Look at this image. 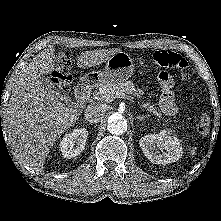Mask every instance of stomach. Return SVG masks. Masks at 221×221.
Listing matches in <instances>:
<instances>
[{
    "mask_svg": "<svg viewBox=\"0 0 221 221\" xmlns=\"http://www.w3.org/2000/svg\"><path fill=\"white\" fill-rule=\"evenodd\" d=\"M134 67L135 64L131 56L126 52L119 51L107 60L103 72H92L91 77L101 85L108 82L120 83L132 76Z\"/></svg>",
    "mask_w": 221,
    "mask_h": 221,
    "instance_id": "1",
    "label": "stomach"
}]
</instances>
